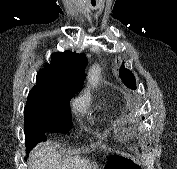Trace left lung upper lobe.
<instances>
[{"label": "left lung upper lobe", "instance_id": "left-lung-upper-lobe-1", "mask_svg": "<svg viewBox=\"0 0 177 169\" xmlns=\"http://www.w3.org/2000/svg\"><path fill=\"white\" fill-rule=\"evenodd\" d=\"M120 76H121L122 80L124 81V83H125L127 86H129V87H131V88H135L134 83L131 82V81L126 77V75H125L124 73H121Z\"/></svg>", "mask_w": 177, "mask_h": 169}]
</instances>
